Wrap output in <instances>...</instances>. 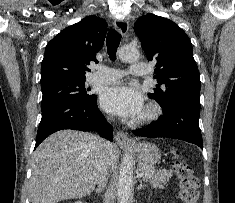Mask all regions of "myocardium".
Returning <instances> with one entry per match:
<instances>
[{"label": "myocardium", "instance_id": "myocardium-1", "mask_svg": "<svg viewBox=\"0 0 235 203\" xmlns=\"http://www.w3.org/2000/svg\"><path fill=\"white\" fill-rule=\"evenodd\" d=\"M161 114V109L156 104H149L143 114L141 115L139 122L141 124H149L158 119Z\"/></svg>", "mask_w": 235, "mask_h": 203}]
</instances>
